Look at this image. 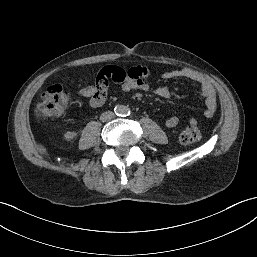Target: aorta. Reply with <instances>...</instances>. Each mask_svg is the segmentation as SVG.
<instances>
[{
  "instance_id": "aorta-1",
  "label": "aorta",
  "mask_w": 257,
  "mask_h": 257,
  "mask_svg": "<svg viewBox=\"0 0 257 257\" xmlns=\"http://www.w3.org/2000/svg\"><path fill=\"white\" fill-rule=\"evenodd\" d=\"M114 112L116 113V115H125L127 113V108L124 105H116L114 108Z\"/></svg>"
}]
</instances>
